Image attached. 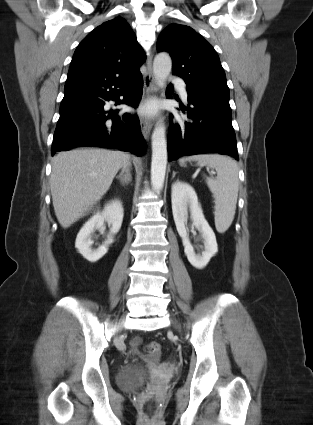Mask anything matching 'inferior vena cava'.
<instances>
[{"label":"inferior vena cava","instance_id":"1","mask_svg":"<svg viewBox=\"0 0 313 425\" xmlns=\"http://www.w3.org/2000/svg\"><path fill=\"white\" fill-rule=\"evenodd\" d=\"M130 165V162L128 161V162H125L122 166H123V169H126L128 166Z\"/></svg>","mask_w":313,"mask_h":425}]
</instances>
